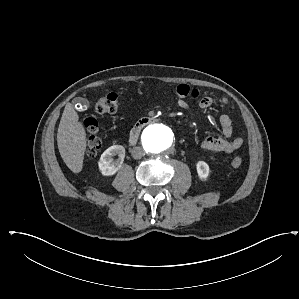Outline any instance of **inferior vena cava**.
I'll list each match as a JSON object with an SVG mask.
<instances>
[{
    "mask_svg": "<svg viewBox=\"0 0 299 299\" xmlns=\"http://www.w3.org/2000/svg\"><path fill=\"white\" fill-rule=\"evenodd\" d=\"M131 155L134 159H141L144 156V151L141 147H134L131 150Z\"/></svg>",
    "mask_w": 299,
    "mask_h": 299,
    "instance_id": "obj_1",
    "label": "inferior vena cava"
}]
</instances>
